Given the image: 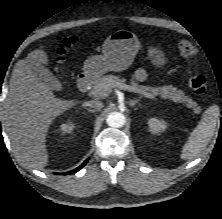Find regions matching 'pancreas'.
Listing matches in <instances>:
<instances>
[{
    "mask_svg": "<svg viewBox=\"0 0 222 219\" xmlns=\"http://www.w3.org/2000/svg\"><path fill=\"white\" fill-rule=\"evenodd\" d=\"M125 79H120L114 75H106L100 78V80L93 86L92 94L97 98L105 97L104 94H109L111 88L117 87L118 84H125ZM131 86L135 88L136 92L145 96L146 98L154 99L156 96L160 95L163 99H170L175 103H182L186 107L193 110L194 114H199L201 112V107L193 101V99L185 96L182 90L169 85L162 87H150L139 85L135 82L131 83Z\"/></svg>",
    "mask_w": 222,
    "mask_h": 219,
    "instance_id": "1",
    "label": "pancreas"
}]
</instances>
